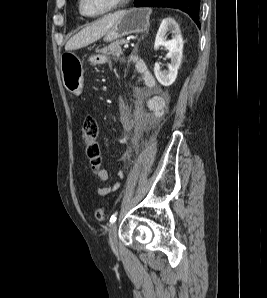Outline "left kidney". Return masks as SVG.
Listing matches in <instances>:
<instances>
[{"instance_id":"left-kidney-1","label":"left kidney","mask_w":267,"mask_h":298,"mask_svg":"<svg viewBox=\"0 0 267 298\" xmlns=\"http://www.w3.org/2000/svg\"><path fill=\"white\" fill-rule=\"evenodd\" d=\"M172 33V39L166 40V33ZM164 46L168 49L167 57L170 59L167 71H161L158 63H155L154 74L158 82L163 86H170L176 80L178 69L183 56V38L178 23L172 18L163 19L156 34L154 49Z\"/></svg>"}]
</instances>
